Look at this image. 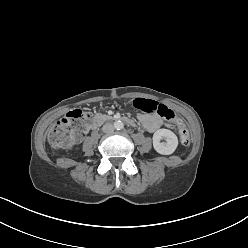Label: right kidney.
<instances>
[{"mask_svg": "<svg viewBox=\"0 0 248 248\" xmlns=\"http://www.w3.org/2000/svg\"><path fill=\"white\" fill-rule=\"evenodd\" d=\"M72 148H73L72 145L68 147L69 150H72Z\"/></svg>", "mask_w": 248, "mask_h": 248, "instance_id": "1", "label": "right kidney"}]
</instances>
